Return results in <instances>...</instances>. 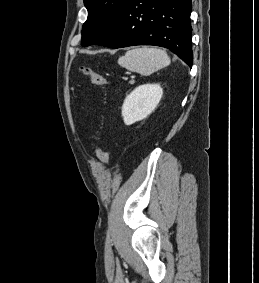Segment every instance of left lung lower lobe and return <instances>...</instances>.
I'll return each mask as SVG.
<instances>
[{
    "mask_svg": "<svg viewBox=\"0 0 259 283\" xmlns=\"http://www.w3.org/2000/svg\"><path fill=\"white\" fill-rule=\"evenodd\" d=\"M191 0H128L115 25L96 45H155L193 62Z\"/></svg>",
    "mask_w": 259,
    "mask_h": 283,
    "instance_id": "0a47b994",
    "label": "left lung lower lobe"
}]
</instances>
